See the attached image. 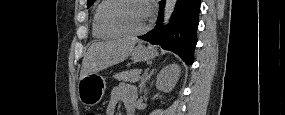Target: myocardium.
I'll return each mask as SVG.
<instances>
[{"mask_svg": "<svg viewBox=\"0 0 285 115\" xmlns=\"http://www.w3.org/2000/svg\"><path fill=\"white\" fill-rule=\"evenodd\" d=\"M127 1H139L142 2L147 9H149V6L146 1L144 0H109L101 9L100 13V20L103 26L106 28L117 32L118 34L122 36H127V37H136L140 36L144 33H146L150 27V20L148 19L145 26L138 30V31H128L124 28H122L119 24H117L115 21L112 20L111 18V12L119 7L122 3L127 2Z\"/></svg>", "mask_w": 285, "mask_h": 115, "instance_id": "1", "label": "myocardium"}]
</instances>
